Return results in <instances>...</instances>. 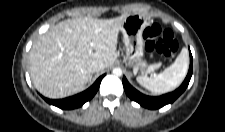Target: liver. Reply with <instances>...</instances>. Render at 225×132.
I'll use <instances>...</instances> for the list:
<instances>
[{
  "instance_id": "1",
  "label": "liver",
  "mask_w": 225,
  "mask_h": 132,
  "mask_svg": "<svg viewBox=\"0 0 225 132\" xmlns=\"http://www.w3.org/2000/svg\"><path fill=\"white\" fill-rule=\"evenodd\" d=\"M128 14L113 19L80 17L50 27L33 44L29 72L44 96L64 98L80 92L90 81L93 60L105 68L117 59L118 33Z\"/></svg>"
}]
</instances>
